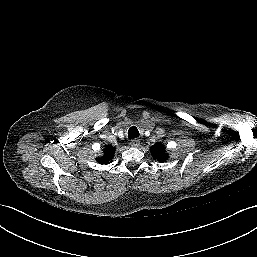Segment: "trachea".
<instances>
[{
  "instance_id": "3493384b",
  "label": "trachea",
  "mask_w": 257,
  "mask_h": 257,
  "mask_svg": "<svg viewBox=\"0 0 257 257\" xmlns=\"http://www.w3.org/2000/svg\"><path fill=\"white\" fill-rule=\"evenodd\" d=\"M139 137V131L135 126H132L129 130H128V138L129 139H133V138H137Z\"/></svg>"
}]
</instances>
